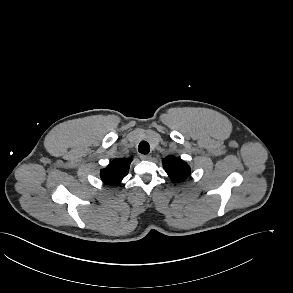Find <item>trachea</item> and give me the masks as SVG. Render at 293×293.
<instances>
[{
  "mask_svg": "<svg viewBox=\"0 0 293 293\" xmlns=\"http://www.w3.org/2000/svg\"><path fill=\"white\" fill-rule=\"evenodd\" d=\"M138 151L141 153V154H148L149 151H150V145L148 142L146 141H141L139 146H138Z\"/></svg>",
  "mask_w": 293,
  "mask_h": 293,
  "instance_id": "trachea-1",
  "label": "trachea"
}]
</instances>
